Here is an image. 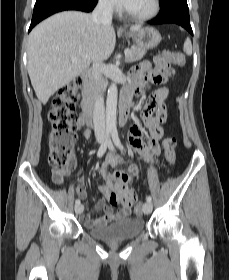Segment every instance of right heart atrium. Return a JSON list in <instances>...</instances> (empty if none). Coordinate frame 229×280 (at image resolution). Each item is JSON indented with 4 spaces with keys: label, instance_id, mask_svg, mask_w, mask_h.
Returning a JSON list of instances; mask_svg holds the SVG:
<instances>
[{
    "label": "right heart atrium",
    "instance_id": "1",
    "mask_svg": "<svg viewBox=\"0 0 229 280\" xmlns=\"http://www.w3.org/2000/svg\"><path fill=\"white\" fill-rule=\"evenodd\" d=\"M101 5L108 11H116L118 9L116 0H99Z\"/></svg>",
    "mask_w": 229,
    "mask_h": 280
}]
</instances>
